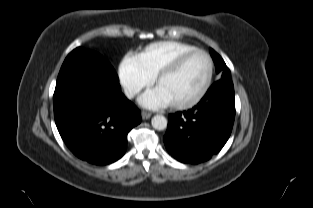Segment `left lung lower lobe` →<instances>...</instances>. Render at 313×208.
I'll use <instances>...</instances> for the list:
<instances>
[{"label": "left lung lower lobe", "instance_id": "0a47b994", "mask_svg": "<svg viewBox=\"0 0 313 208\" xmlns=\"http://www.w3.org/2000/svg\"><path fill=\"white\" fill-rule=\"evenodd\" d=\"M163 138L178 161L198 164L217 154L227 142L235 118L231 79L215 82L192 109L169 115Z\"/></svg>", "mask_w": 313, "mask_h": 208}]
</instances>
